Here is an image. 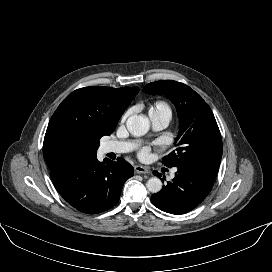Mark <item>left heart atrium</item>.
Returning a JSON list of instances; mask_svg holds the SVG:
<instances>
[{"label": "left heart atrium", "mask_w": 272, "mask_h": 272, "mask_svg": "<svg viewBox=\"0 0 272 272\" xmlns=\"http://www.w3.org/2000/svg\"><path fill=\"white\" fill-rule=\"evenodd\" d=\"M149 148H142L139 152H138V156L141 159H147L149 157Z\"/></svg>", "instance_id": "left-heart-atrium-1"}]
</instances>
